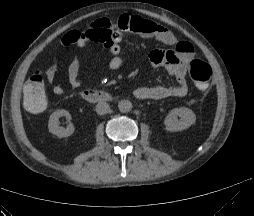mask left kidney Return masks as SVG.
<instances>
[{"instance_id": "left-kidney-1", "label": "left kidney", "mask_w": 254, "mask_h": 216, "mask_svg": "<svg viewBox=\"0 0 254 216\" xmlns=\"http://www.w3.org/2000/svg\"><path fill=\"white\" fill-rule=\"evenodd\" d=\"M180 117L178 119L177 117ZM196 121L195 113L187 108L180 107L172 109L164 120L167 131L177 132L189 128Z\"/></svg>"}]
</instances>
